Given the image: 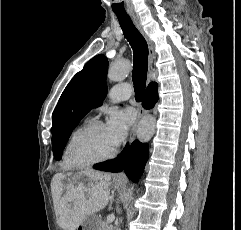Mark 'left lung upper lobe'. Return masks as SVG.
I'll return each instance as SVG.
<instances>
[{
    "mask_svg": "<svg viewBox=\"0 0 241 230\" xmlns=\"http://www.w3.org/2000/svg\"><path fill=\"white\" fill-rule=\"evenodd\" d=\"M108 60L97 55L88 61L63 91L52 115V150L61 159L71 132L86 114L98 107L107 94Z\"/></svg>",
    "mask_w": 241,
    "mask_h": 230,
    "instance_id": "1",
    "label": "left lung upper lobe"
}]
</instances>
